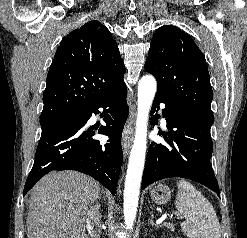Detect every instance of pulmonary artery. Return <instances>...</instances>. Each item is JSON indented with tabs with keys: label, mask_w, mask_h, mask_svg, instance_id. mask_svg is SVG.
I'll return each instance as SVG.
<instances>
[{
	"label": "pulmonary artery",
	"mask_w": 247,
	"mask_h": 238,
	"mask_svg": "<svg viewBox=\"0 0 247 238\" xmlns=\"http://www.w3.org/2000/svg\"><path fill=\"white\" fill-rule=\"evenodd\" d=\"M162 124H163V125H166V120H165V118H162Z\"/></svg>",
	"instance_id": "e3ab8cb5"
}]
</instances>
